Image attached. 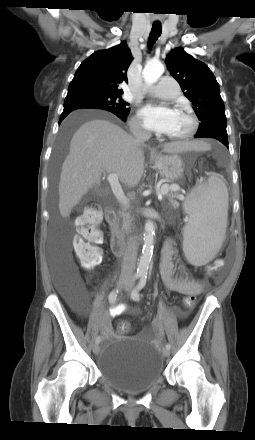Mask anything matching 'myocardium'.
Here are the masks:
<instances>
[{"label":"myocardium","instance_id":"obj_1","mask_svg":"<svg viewBox=\"0 0 255 440\" xmlns=\"http://www.w3.org/2000/svg\"><path fill=\"white\" fill-rule=\"evenodd\" d=\"M177 109L179 111L184 112L188 116V118L190 119V127L188 128V130L186 132H184L181 135H178V136H170V135H168V137L171 140L184 141V140H187V139H189V138L194 136V134L196 133V131L198 130V127H199V120H198L197 116L193 113V111L189 107L184 106V105H179L177 107Z\"/></svg>","mask_w":255,"mask_h":440}]
</instances>
